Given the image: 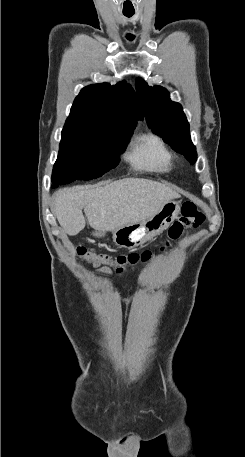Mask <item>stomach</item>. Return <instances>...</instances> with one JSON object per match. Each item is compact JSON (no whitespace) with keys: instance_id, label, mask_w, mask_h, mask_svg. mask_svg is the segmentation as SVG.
<instances>
[{"instance_id":"stomach-1","label":"stomach","mask_w":245,"mask_h":457,"mask_svg":"<svg viewBox=\"0 0 245 457\" xmlns=\"http://www.w3.org/2000/svg\"><path fill=\"white\" fill-rule=\"evenodd\" d=\"M181 206L178 200H168L161 208L146 220L122 224L119 229L112 231L113 241L120 249H137L148 241H152L157 235L168 229L171 222L180 214ZM106 231H94L93 237H104Z\"/></svg>"}]
</instances>
